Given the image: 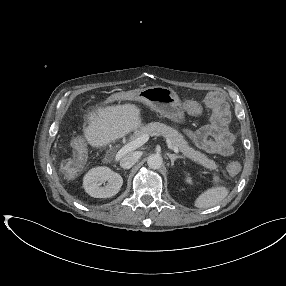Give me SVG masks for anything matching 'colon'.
Wrapping results in <instances>:
<instances>
[{
    "instance_id": "5ec220e1",
    "label": "colon",
    "mask_w": 286,
    "mask_h": 286,
    "mask_svg": "<svg viewBox=\"0 0 286 286\" xmlns=\"http://www.w3.org/2000/svg\"><path fill=\"white\" fill-rule=\"evenodd\" d=\"M77 146H78V144H77ZM77 149H78V147H77ZM80 150H82V149H80ZM76 159H78V158H76ZM238 169H239V166H238V164H237L236 162H233V163H231V164L229 165V171H230L231 173L237 172Z\"/></svg>"
}]
</instances>
